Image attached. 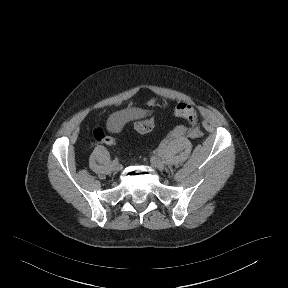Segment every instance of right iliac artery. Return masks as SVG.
Returning a JSON list of instances; mask_svg holds the SVG:
<instances>
[{
    "instance_id": "right-iliac-artery-1",
    "label": "right iliac artery",
    "mask_w": 288,
    "mask_h": 288,
    "mask_svg": "<svg viewBox=\"0 0 288 288\" xmlns=\"http://www.w3.org/2000/svg\"><path fill=\"white\" fill-rule=\"evenodd\" d=\"M113 162H118V159H117V158H115V159L113 160Z\"/></svg>"
}]
</instances>
